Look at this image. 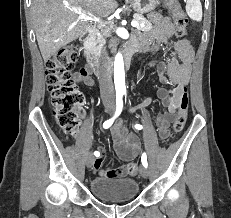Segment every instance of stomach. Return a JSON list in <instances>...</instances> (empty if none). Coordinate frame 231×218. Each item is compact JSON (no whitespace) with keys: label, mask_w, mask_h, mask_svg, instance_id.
I'll list each match as a JSON object with an SVG mask.
<instances>
[{"label":"stomach","mask_w":231,"mask_h":218,"mask_svg":"<svg viewBox=\"0 0 231 218\" xmlns=\"http://www.w3.org/2000/svg\"><path fill=\"white\" fill-rule=\"evenodd\" d=\"M131 4L136 11L148 13L160 4V0H131Z\"/></svg>","instance_id":"0dacf381"}]
</instances>
